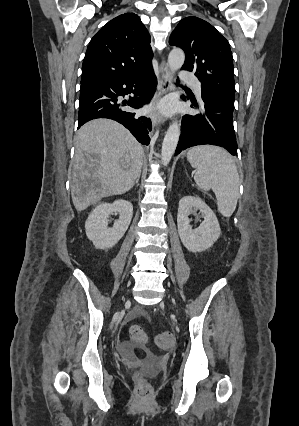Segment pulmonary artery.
Returning <instances> with one entry per match:
<instances>
[{
	"label": "pulmonary artery",
	"mask_w": 299,
	"mask_h": 426,
	"mask_svg": "<svg viewBox=\"0 0 299 426\" xmlns=\"http://www.w3.org/2000/svg\"><path fill=\"white\" fill-rule=\"evenodd\" d=\"M181 78L191 84L195 94L198 97L201 96V84L196 77L189 75V74H186V73H182Z\"/></svg>",
	"instance_id": "e3ab8cb5"
}]
</instances>
